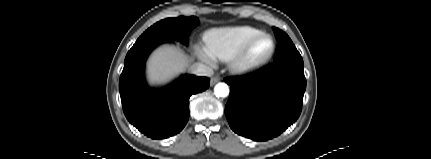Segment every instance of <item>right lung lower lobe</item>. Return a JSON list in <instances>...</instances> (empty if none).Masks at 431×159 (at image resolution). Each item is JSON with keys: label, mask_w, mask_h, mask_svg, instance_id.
<instances>
[{"label": "right lung lower lobe", "mask_w": 431, "mask_h": 159, "mask_svg": "<svg viewBox=\"0 0 431 159\" xmlns=\"http://www.w3.org/2000/svg\"><path fill=\"white\" fill-rule=\"evenodd\" d=\"M147 41L134 44L126 55L119 91L128 121L147 137L165 139L179 133L189 119V98L209 87L210 79L182 75L163 88H151L144 76L145 61L159 44Z\"/></svg>", "instance_id": "1"}]
</instances>
